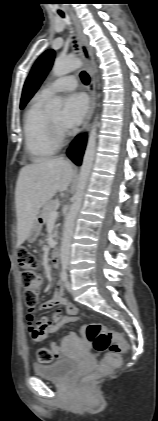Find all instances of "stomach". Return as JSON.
<instances>
[{"label": "stomach", "instance_id": "0dacf381", "mask_svg": "<svg viewBox=\"0 0 158 421\" xmlns=\"http://www.w3.org/2000/svg\"><path fill=\"white\" fill-rule=\"evenodd\" d=\"M41 229H42V220H41V217H37L32 225V228L29 232L27 240L29 242H34L39 236Z\"/></svg>", "mask_w": 158, "mask_h": 421}]
</instances>
